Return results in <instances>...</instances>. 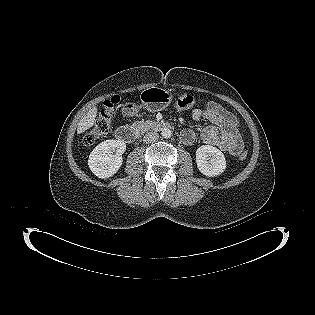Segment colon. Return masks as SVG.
Segmentation results:
<instances>
[{
  "label": "colon",
  "instance_id": "1",
  "mask_svg": "<svg viewBox=\"0 0 315 315\" xmlns=\"http://www.w3.org/2000/svg\"><path fill=\"white\" fill-rule=\"evenodd\" d=\"M119 101V96H113L104 101L94 126L84 136V142L87 145L93 144L97 139L110 131L114 109ZM195 103L196 97L193 94H184L176 99L175 106L183 110L192 107ZM238 156L241 160L246 161L249 159L250 154L248 151L242 150L238 153Z\"/></svg>",
  "mask_w": 315,
  "mask_h": 315
}]
</instances>
